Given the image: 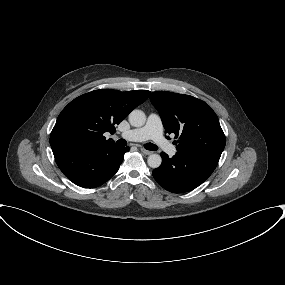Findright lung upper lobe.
Masks as SVG:
<instances>
[{
    "instance_id": "right-lung-upper-lobe-1",
    "label": "right lung upper lobe",
    "mask_w": 285,
    "mask_h": 285,
    "mask_svg": "<svg viewBox=\"0 0 285 285\" xmlns=\"http://www.w3.org/2000/svg\"><path fill=\"white\" fill-rule=\"evenodd\" d=\"M150 91L94 90L71 101L60 113L50 135L51 148L80 145L87 148L116 146L106 140L128 114L147 100Z\"/></svg>"
}]
</instances>
